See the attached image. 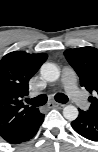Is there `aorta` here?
Returning a JSON list of instances; mask_svg holds the SVG:
<instances>
[{"instance_id":"1","label":"aorta","mask_w":98,"mask_h":152,"mask_svg":"<svg viewBox=\"0 0 98 152\" xmlns=\"http://www.w3.org/2000/svg\"><path fill=\"white\" fill-rule=\"evenodd\" d=\"M42 77L48 82L56 81L60 76L59 68L53 63H44L40 69ZM78 109L73 105H67L63 109V116L67 120H75L78 117Z\"/></svg>"}]
</instances>
